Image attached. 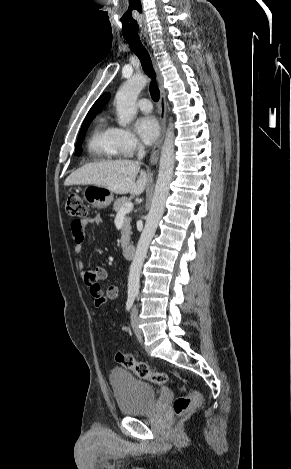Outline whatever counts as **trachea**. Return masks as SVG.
<instances>
[{"instance_id": "trachea-1", "label": "trachea", "mask_w": 291, "mask_h": 469, "mask_svg": "<svg viewBox=\"0 0 291 469\" xmlns=\"http://www.w3.org/2000/svg\"><path fill=\"white\" fill-rule=\"evenodd\" d=\"M131 50L139 58L142 68L146 75L151 79L150 83V95L152 99L157 102L160 98V91L156 84V73L153 69L151 57L141 42L140 38L137 37H125Z\"/></svg>"}]
</instances>
